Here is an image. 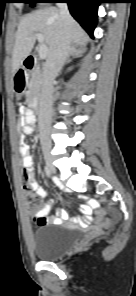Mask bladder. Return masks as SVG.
Returning <instances> with one entry per match:
<instances>
[{
    "instance_id": "1",
    "label": "bladder",
    "mask_w": 136,
    "mask_h": 296,
    "mask_svg": "<svg viewBox=\"0 0 136 296\" xmlns=\"http://www.w3.org/2000/svg\"><path fill=\"white\" fill-rule=\"evenodd\" d=\"M79 241V233L63 225H42L34 230L31 236L33 252L43 261L61 258Z\"/></svg>"
}]
</instances>
